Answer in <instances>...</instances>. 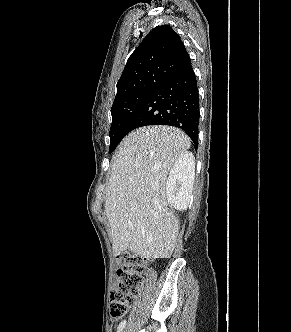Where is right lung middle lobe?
<instances>
[{
    "instance_id": "right-lung-middle-lobe-1",
    "label": "right lung middle lobe",
    "mask_w": 291,
    "mask_h": 332,
    "mask_svg": "<svg viewBox=\"0 0 291 332\" xmlns=\"http://www.w3.org/2000/svg\"><path fill=\"white\" fill-rule=\"evenodd\" d=\"M160 82H154L147 89L114 100L111 108L112 124L109 134L111 139L109 153L116 148L127 134V127L132 117L137 113L141 105Z\"/></svg>"
}]
</instances>
